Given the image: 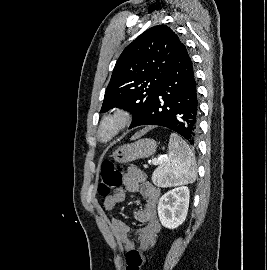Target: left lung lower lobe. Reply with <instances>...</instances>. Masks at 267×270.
<instances>
[{"mask_svg": "<svg viewBox=\"0 0 267 270\" xmlns=\"http://www.w3.org/2000/svg\"><path fill=\"white\" fill-rule=\"evenodd\" d=\"M169 128L191 145L198 133V96L192 61L183 43L152 103L136 123Z\"/></svg>", "mask_w": 267, "mask_h": 270, "instance_id": "0a47b994", "label": "left lung lower lobe"}]
</instances>
